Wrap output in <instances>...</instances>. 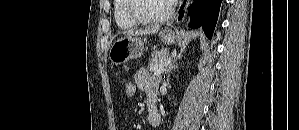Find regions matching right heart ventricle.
Returning a JSON list of instances; mask_svg holds the SVG:
<instances>
[{
	"label": "right heart ventricle",
	"mask_w": 299,
	"mask_h": 130,
	"mask_svg": "<svg viewBox=\"0 0 299 130\" xmlns=\"http://www.w3.org/2000/svg\"><path fill=\"white\" fill-rule=\"evenodd\" d=\"M128 0L114 1V18L120 29L128 30L138 27L140 24L132 20L128 15Z\"/></svg>",
	"instance_id": "e07e8e85"
}]
</instances>
